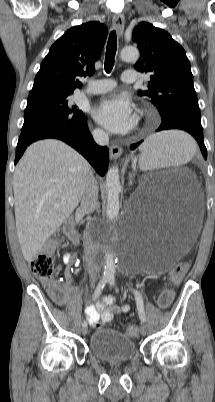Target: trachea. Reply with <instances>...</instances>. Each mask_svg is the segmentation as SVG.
<instances>
[{"label":"trachea","instance_id":"obj_1","mask_svg":"<svg viewBox=\"0 0 215 402\" xmlns=\"http://www.w3.org/2000/svg\"><path fill=\"white\" fill-rule=\"evenodd\" d=\"M117 50V36L116 32L112 31L109 35L107 47H106V56H105V71L110 73L114 66V58Z\"/></svg>","mask_w":215,"mask_h":402}]
</instances>
